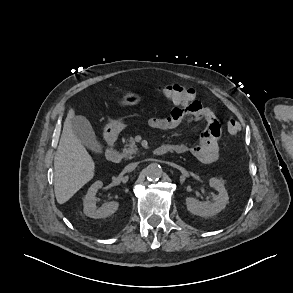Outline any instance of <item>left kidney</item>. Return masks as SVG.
I'll list each match as a JSON object with an SVG mask.
<instances>
[{
	"label": "left kidney",
	"instance_id": "left-kidney-1",
	"mask_svg": "<svg viewBox=\"0 0 293 293\" xmlns=\"http://www.w3.org/2000/svg\"><path fill=\"white\" fill-rule=\"evenodd\" d=\"M209 185L215 188L218 194L213 196L212 202H200L193 197H187L186 207L190 213L201 217H211L226 207L229 197L224 182L213 177L209 180Z\"/></svg>",
	"mask_w": 293,
	"mask_h": 293
}]
</instances>
